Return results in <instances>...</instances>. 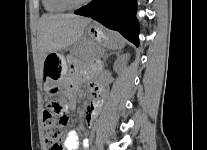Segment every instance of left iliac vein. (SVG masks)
Returning <instances> with one entry per match:
<instances>
[{"instance_id":"left-iliac-vein-1","label":"left iliac vein","mask_w":207,"mask_h":150,"mask_svg":"<svg viewBox=\"0 0 207 150\" xmlns=\"http://www.w3.org/2000/svg\"><path fill=\"white\" fill-rule=\"evenodd\" d=\"M91 150H96V149L94 147H92Z\"/></svg>"}]
</instances>
